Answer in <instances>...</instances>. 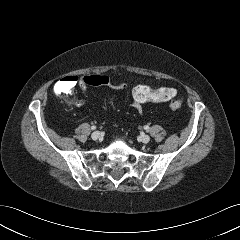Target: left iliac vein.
<instances>
[{
    "label": "left iliac vein",
    "mask_w": 240,
    "mask_h": 240,
    "mask_svg": "<svg viewBox=\"0 0 240 240\" xmlns=\"http://www.w3.org/2000/svg\"><path fill=\"white\" fill-rule=\"evenodd\" d=\"M140 140L143 142V143H148L150 141V136L146 135V134H142L140 136Z\"/></svg>",
    "instance_id": "obj_1"
}]
</instances>
